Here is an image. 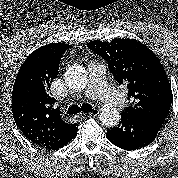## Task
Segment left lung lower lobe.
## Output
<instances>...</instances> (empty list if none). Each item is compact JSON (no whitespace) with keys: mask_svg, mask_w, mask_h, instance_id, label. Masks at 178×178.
<instances>
[{"mask_svg":"<svg viewBox=\"0 0 178 178\" xmlns=\"http://www.w3.org/2000/svg\"><path fill=\"white\" fill-rule=\"evenodd\" d=\"M163 123V120L152 117H131L121 114L119 125L107 128L106 136L119 148L137 150L154 141Z\"/></svg>","mask_w":178,"mask_h":178,"instance_id":"left-lung-lower-lobe-1","label":"left lung lower lobe"}]
</instances>
